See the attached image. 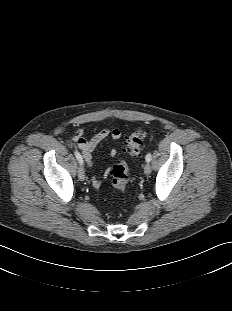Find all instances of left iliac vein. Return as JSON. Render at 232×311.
<instances>
[{
  "instance_id": "1",
  "label": "left iliac vein",
  "mask_w": 232,
  "mask_h": 311,
  "mask_svg": "<svg viewBox=\"0 0 232 311\" xmlns=\"http://www.w3.org/2000/svg\"><path fill=\"white\" fill-rule=\"evenodd\" d=\"M144 173L146 175H149L151 173V166H150V164L148 162L144 166Z\"/></svg>"
}]
</instances>
